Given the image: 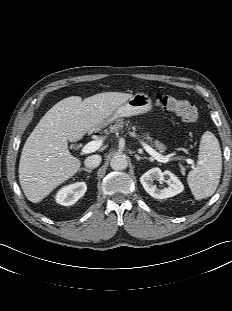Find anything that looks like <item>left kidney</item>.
<instances>
[{"label": "left kidney", "instance_id": "1", "mask_svg": "<svg viewBox=\"0 0 232 311\" xmlns=\"http://www.w3.org/2000/svg\"><path fill=\"white\" fill-rule=\"evenodd\" d=\"M155 180L166 182L168 186L164 189H159L154 185ZM140 182L146 192L156 199L173 197L184 190V186L177 176L168 170L162 172L159 168L148 170L140 177Z\"/></svg>", "mask_w": 232, "mask_h": 311}]
</instances>
